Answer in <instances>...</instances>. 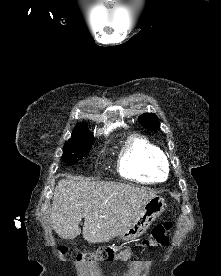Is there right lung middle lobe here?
Returning <instances> with one entry per match:
<instances>
[{"label": "right lung middle lobe", "mask_w": 221, "mask_h": 276, "mask_svg": "<svg viewBox=\"0 0 221 276\" xmlns=\"http://www.w3.org/2000/svg\"><path fill=\"white\" fill-rule=\"evenodd\" d=\"M94 141L88 142H66L63 147V162L69 166L77 164L90 152L91 144Z\"/></svg>", "instance_id": "right-lung-middle-lobe-1"}]
</instances>
